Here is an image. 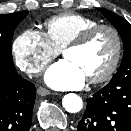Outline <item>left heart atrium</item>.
I'll return each instance as SVG.
<instances>
[{
    "instance_id": "39dd6f15",
    "label": "left heart atrium",
    "mask_w": 131,
    "mask_h": 131,
    "mask_svg": "<svg viewBox=\"0 0 131 131\" xmlns=\"http://www.w3.org/2000/svg\"><path fill=\"white\" fill-rule=\"evenodd\" d=\"M44 79L50 87L57 90L80 89L86 81L82 70L69 59H63L50 66Z\"/></svg>"
}]
</instances>
